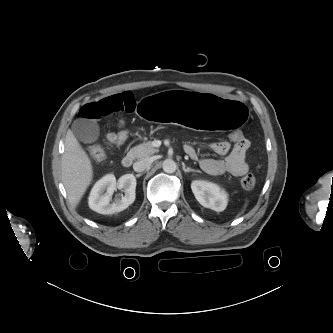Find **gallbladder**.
<instances>
[{"instance_id":"bac80fb5","label":"gallbladder","mask_w":333,"mask_h":333,"mask_svg":"<svg viewBox=\"0 0 333 333\" xmlns=\"http://www.w3.org/2000/svg\"><path fill=\"white\" fill-rule=\"evenodd\" d=\"M71 129L74 136L84 143H91L99 136V126L97 123L86 118L75 120Z\"/></svg>"}]
</instances>
